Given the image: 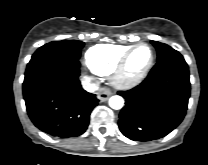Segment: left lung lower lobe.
Wrapping results in <instances>:
<instances>
[{
    "label": "left lung lower lobe",
    "instance_id": "left-lung-lower-lobe-1",
    "mask_svg": "<svg viewBox=\"0 0 208 165\" xmlns=\"http://www.w3.org/2000/svg\"><path fill=\"white\" fill-rule=\"evenodd\" d=\"M125 106L119 115V128L134 141L164 137L183 120L190 97L188 65L179 52L157 60L138 86L119 91Z\"/></svg>",
    "mask_w": 208,
    "mask_h": 165
}]
</instances>
